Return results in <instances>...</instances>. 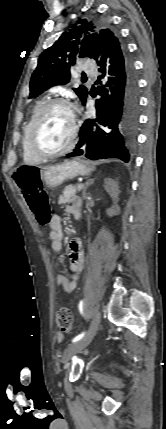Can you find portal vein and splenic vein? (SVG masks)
Returning a JSON list of instances; mask_svg holds the SVG:
<instances>
[{
  "label": "portal vein and splenic vein",
  "instance_id": "portal-vein-and-splenic-vein-1",
  "mask_svg": "<svg viewBox=\"0 0 166 429\" xmlns=\"http://www.w3.org/2000/svg\"><path fill=\"white\" fill-rule=\"evenodd\" d=\"M83 187V184H78L77 189H81Z\"/></svg>",
  "mask_w": 166,
  "mask_h": 429
}]
</instances>
